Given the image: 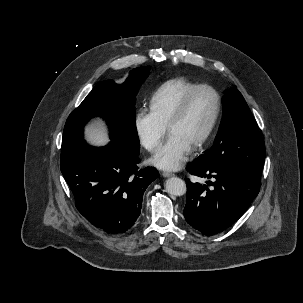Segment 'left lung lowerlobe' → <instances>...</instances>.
<instances>
[{"label":"left lung lower lobe","instance_id":"1","mask_svg":"<svg viewBox=\"0 0 303 303\" xmlns=\"http://www.w3.org/2000/svg\"><path fill=\"white\" fill-rule=\"evenodd\" d=\"M190 174L211 179L212 186L187 183L184 216L188 224L205 235L217 234L237 221L260 191L261 182L236 169L197 161L187 166Z\"/></svg>","mask_w":303,"mask_h":303}]
</instances>
